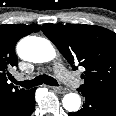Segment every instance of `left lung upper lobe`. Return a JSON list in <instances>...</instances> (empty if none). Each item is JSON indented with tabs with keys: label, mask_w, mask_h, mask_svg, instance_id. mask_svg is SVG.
Returning a JSON list of instances; mask_svg holds the SVG:
<instances>
[{
	"label": "left lung upper lobe",
	"mask_w": 116,
	"mask_h": 116,
	"mask_svg": "<svg viewBox=\"0 0 116 116\" xmlns=\"http://www.w3.org/2000/svg\"><path fill=\"white\" fill-rule=\"evenodd\" d=\"M43 33L73 69L85 68L79 89L116 93V33L95 25L44 24Z\"/></svg>",
	"instance_id": "1"
}]
</instances>
